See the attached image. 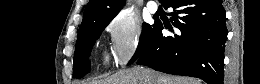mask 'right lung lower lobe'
Segmentation results:
<instances>
[{
	"instance_id": "1",
	"label": "right lung lower lobe",
	"mask_w": 260,
	"mask_h": 84,
	"mask_svg": "<svg viewBox=\"0 0 260 84\" xmlns=\"http://www.w3.org/2000/svg\"><path fill=\"white\" fill-rule=\"evenodd\" d=\"M179 34L165 37L156 24L151 44L137 64L168 74L223 84L226 16L220 0H165Z\"/></svg>"
}]
</instances>
